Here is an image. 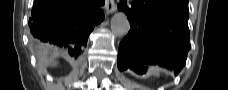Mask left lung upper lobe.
I'll return each instance as SVG.
<instances>
[{
    "label": "left lung upper lobe",
    "instance_id": "left-lung-upper-lobe-1",
    "mask_svg": "<svg viewBox=\"0 0 228 90\" xmlns=\"http://www.w3.org/2000/svg\"><path fill=\"white\" fill-rule=\"evenodd\" d=\"M185 5H182V9H184L185 11H189L188 9V0H184Z\"/></svg>",
    "mask_w": 228,
    "mask_h": 90
}]
</instances>
